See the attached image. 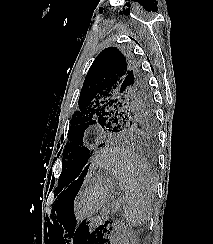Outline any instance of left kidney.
Here are the masks:
<instances>
[{
    "mask_svg": "<svg viewBox=\"0 0 213 244\" xmlns=\"http://www.w3.org/2000/svg\"><path fill=\"white\" fill-rule=\"evenodd\" d=\"M112 244H136L135 235L133 231L125 227L115 233Z\"/></svg>",
    "mask_w": 213,
    "mask_h": 244,
    "instance_id": "1",
    "label": "left kidney"
}]
</instances>
